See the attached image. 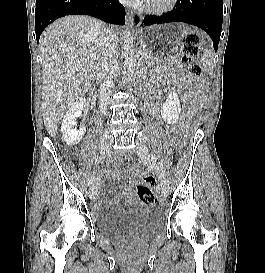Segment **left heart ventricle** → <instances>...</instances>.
Returning a JSON list of instances; mask_svg holds the SVG:
<instances>
[{
    "mask_svg": "<svg viewBox=\"0 0 265 273\" xmlns=\"http://www.w3.org/2000/svg\"><path fill=\"white\" fill-rule=\"evenodd\" d=\"M167 0H149L148 2L153 4V5H162L166 2Z\"/></svg>",
    "mask_w": 265,
    "mask_h": 273,
    "instance_id": "left-heart-ventricle-1",
    "label": "left heart ventricle"
}]
</instances>
